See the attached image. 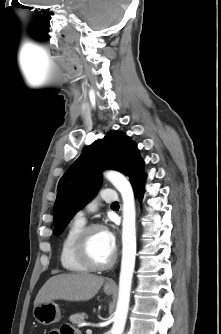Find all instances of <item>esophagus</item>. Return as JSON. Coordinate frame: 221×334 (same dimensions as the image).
<instances>
[{"label": "esophagus", "mask_w": 221, "mask_h": 334, "mask_svg": "<svg viewBox=\"0 0 221 334\" xmlns=\"http://www.w3.org/2000/svg\"><path fill=\"white\" fill-rule=\"evenodd\" d=\"M107 287H116V283L113 280H109L106 283Z\"/></svg>", "instance_id": "34e87169"}]
</instances>
